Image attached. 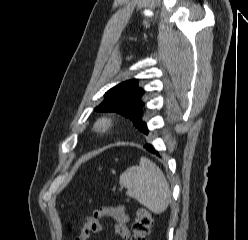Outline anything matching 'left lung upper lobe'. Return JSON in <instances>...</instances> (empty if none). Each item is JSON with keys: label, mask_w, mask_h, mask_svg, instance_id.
Listing matches in <instances>:
<instances>
[{"label": "left lung upper lobe", "mask_w": 248, "mask_h": 240, "mask_svg": "<svg viewBox=\"0 0 248 240\" xmlns=\"http://www.w3.org/2000/svg\"><path fill=\"white\" fill-rule=\"evenodd\" d=\"M137 82V79H132L111 88L105 93L104 101L95 110L119 113L130 119L140 132L148 134L147 125L142 121L144 103L141 97L144 90L136 87Z\"/></svg>", "instance_id": "obj_1"}]
</instances>
